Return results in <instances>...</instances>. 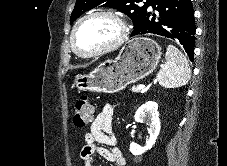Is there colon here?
I'll use <instances>...</instances> for the list:
<instances>
[{"instance_id": "obj_1", "label": "colon", "mask_w": 227, "mask_h": 166, "mask_svg": "<svg viewBox=\"0 0 227 166\" xmlns=\"http://www.w3.org/2000/svg\"><path fill=\"white\" fill-rule=\"evenodd\" d=\"M94 109L88 96L80 95L74 104L73 122L78 128L85 127L93 118Z\"/></svg>"}]
</instances>
